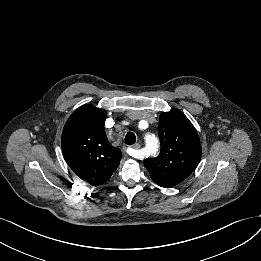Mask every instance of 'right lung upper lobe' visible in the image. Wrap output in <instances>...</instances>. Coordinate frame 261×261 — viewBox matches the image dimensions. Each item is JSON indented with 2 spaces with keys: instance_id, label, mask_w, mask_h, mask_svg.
<instances>
[{
  "instance_id": "cb5924a9",
  "label": "right lung upper lobe",
  "mask_w": 261,
  "mask_h": 261,
  "mask_svg": "<svg viewBox=\"0 0 261 261\" xmlns=\"http://www.w3.org/2000/svg\"><path fill=\"white\" fill-rule=\"evenodd\" d=\"M106 116L102 109L83 105L69 117L62 132V152L67 164L92 186L107 182L122 158L121 151L106 137Z\"/></svg>"
}]
</instances>
